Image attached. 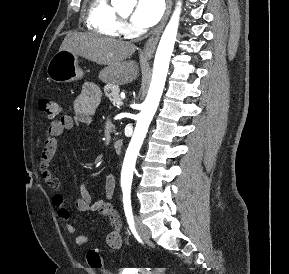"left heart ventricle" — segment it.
Returning <instances> with one entry per match:
<instances>
[{
	"label": "left heart ventricle",
	"mask_w": 289,
	"mask_h": 274,
	"mask_svg": "<svg viewBox=\"0 0 289 274\" xmlns=\"http://www.w3.org/2000/svg\"><path fill=\"white\" fill-rule=\"evenodd\" d=\"M130 13H131V10L128 9V10L122 11V12H121V15H122V16H125V17H128V16L130 15Z\"/></svg>",
	"instance_id": "1"
}]
</instances>
